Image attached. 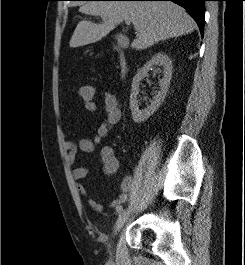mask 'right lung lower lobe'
I'll use <instances>...</instances> for the list:
<instances>
[{
	"instance_id": "98d812e1",
	"label": "right lung lower lobe",
	"mask_w": 245,
	"mask_h": 265,
	"mask_svg": "<svg viewBox=\"0 0 245 265\" xmlns=\"http://www.w3.org/2000/svg\"><path fill=\"white\" fill-rule=\"evenodd\" d=\"M90 1V0H88ZM122 1H172L184 7L199 26L201 35L204 29V1L206 0H122Z\"/></svg>"
}]
</instances>
